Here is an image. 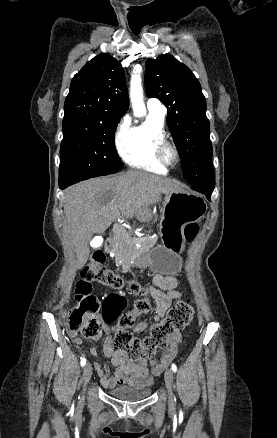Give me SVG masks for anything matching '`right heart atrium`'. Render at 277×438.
Returning <instances> with one entry per match:
<instances>
[{
  "label": "right heart atrium",
  "instance_id": "1",
  "mask_svg": "<svg viewBox=\"0 0 277 438\" xmlns=\"http://www.w3.org/2000/svg\"><path fill=\"white\" fill-rule=\"evenodd\" d=\"M126 131H127L126 124L125 123L119 124V126L117 128V137H118L120 142H121L122 138L124 137Z\"/></svg>",
  "mask_w": 277,
  "mask_h": 438
}]
</instances>
